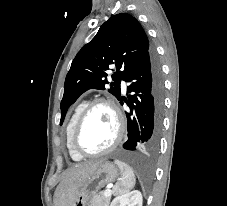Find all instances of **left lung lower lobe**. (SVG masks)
<instances>
[{"label": "left lung lower lobe", "instance_id": "1", "mask_svg": "<svg viewBox=\"0 0 227 206\" xmlns=\"http://www.w3.org/2000/svg\"><path fill=\"white\" fill-rule=\"evenodd\" d=\"M130 108L126 112L128 140L123 148L130 151H154L159 143L163 111V79L155 53L151 51L125 76ZM123 104V99L118 98Z\"/></svg>", "mask_w": 227, "mask_h": 206}]
</instances>
